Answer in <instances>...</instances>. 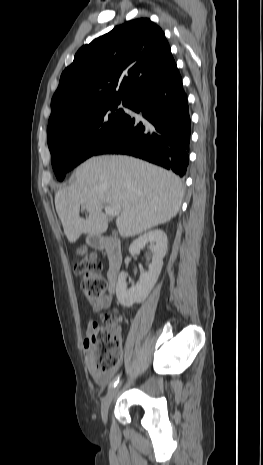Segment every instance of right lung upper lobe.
I'll use <instances>...</instances> for the list:
<instances>
[{
    "label": "right lung upper lobe",
    "instance_id": "right-lung-upper-lobe-1",
    "mask_svg": "<svg viewBox=\"0 0 263 465\" xmlns=\"http://www.w3.org/2000/svg\"><path fill=\"white\" fill-rule=\"evenodd\" d=\"M175 66L159 26L148 18L128 21L78 50L60 77L49 123L96 102L128 99Z\"/></svg>",
    "mask_w": 263,
    "mask_h": 465
}]
</instances>
